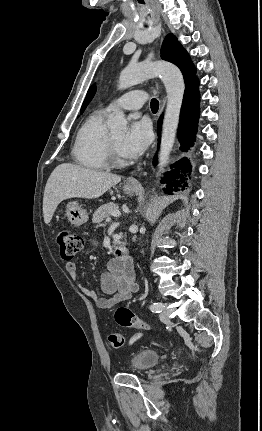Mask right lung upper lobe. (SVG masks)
I'll return each mask as SVG.
<instances>
[{"label":"right lung upper lobe","mask_w":262,"mask_h":431,"mask_svg":"<svg viewBox=\"0 0 262 431\" xmlns=\"http://www.w3.org/2000/svg\"><path fill=\"white\" fill-rule=\"evenodd\" d=\"M95 90H96L95 85L91 86L90 89L88 90L87 95H86V99H85V101H84V103L82 105V108H81V113H83V111L85 110L86 106L88 105V103L93 98V96L95 94Z\"/></svg>","instance_id":"obj_1"}]
</instances>
